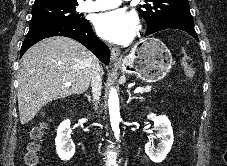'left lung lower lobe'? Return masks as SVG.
Returning <instances> with one entry per match:
<instances>
[{
  "instance_id": "1",
  "label": "left lung lower lobe",
  "mask_w": 227,
  "mask_h": 166,
  "mask_svg": "<svg viewBox=\"0 0 227 166\" xmlns=\"http://www.w3.org/2000/svg\"><path fill=\"white\" fill-rule=\"evenodd\" d=\"M165 29H179V30L185 31L188 34H190L192 37H194L197 41H199L198 37H197V33L194 29L193 20H189V19L188 20H181L177 23L167 25V26H165V27H163L160 30H157L155 32L165 30ZM150 34H152V33H150ZM147 35H149V34L146 33L145 36H147Z\"/></svg>"
}]
</instances>
